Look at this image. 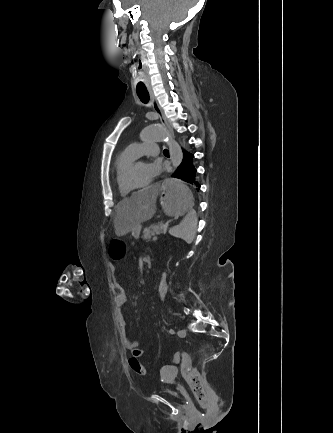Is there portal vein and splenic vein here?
<instances>
[{
  "label": "portal vein and splenic vein",
  "mask_w": 333,
  "mask_h": 433,
  "mask_svg": "<svg viewBox=\"0 0 333 433\" xmlns=\"http://www.w3.org/2000/svg\"><path fill=\"white\" fill-rule=\"evenodd\" d=\"M166 230H167V226L164 225V226L162 227V232L165 233ZM157 239H158L157 237H153V240H154V241H156Z\"/></svg>",
  "instance_id": "obj_1"
}]
</instances>
